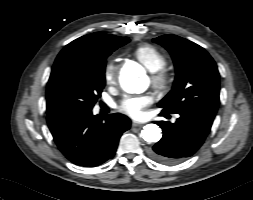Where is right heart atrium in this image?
<instances>
[{
	"label": "right heart atrium",
	"mask_w": 253,
	"mask_h": 200,
	"mask_svg": "<svg viewBox=\"0 0 253 200\" xmlns=\"http://www.w3.org/2000/svg\"><path fill=\"white\" fill-rule=\"evenodd\" d=\"M116 77V65L113 61L106 64L104 69V80L106 83L110 84L115 80Z\"/></svg>",
	"instance_id": "1"
}]
</instances>
